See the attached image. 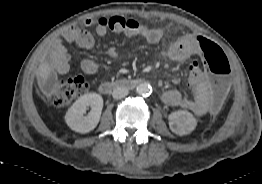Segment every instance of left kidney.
I'll return each instance as SVG.
<instances>
[{
  "mask_svg": "<svg viewBox=\"0 0 262 184\" xmlns=\"http://www.w3.org/2000/svg\"><path fill=\"white\" fill-rule=\"evenodd\" d=\"M196 126L197 120L186 110L175 111L169 115V127L179 136L191 133Z\"/></svg>",
  "mask_w": 262,
  "mask_h": 184,
  "instance_id": "5707ae66",
  "label": "left kidney"
}]
</instances>
